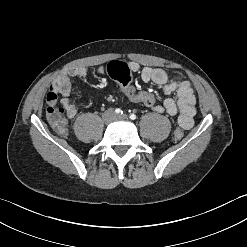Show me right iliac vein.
<instances>
[{
    "mask_svg": "<svg viewBox=\"0 0 247 247\" xmlns=\"http://www.w3.org/2000/svg\"><path fill=\"white\" fill-rule=\"evenodd\" d=\"M103 119L106 123L111 122L114 119V113L112 110H108L105 112Z\"/></svg>",
    "mask_w": 247,
    "mask_h": 247,
    "instance_id": "1",
    "label": "right iliac vein"
}]
</instances>
